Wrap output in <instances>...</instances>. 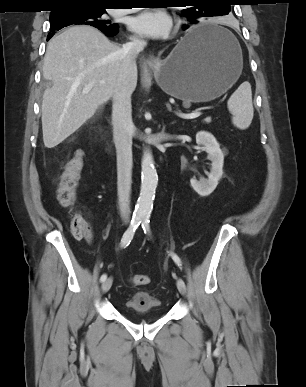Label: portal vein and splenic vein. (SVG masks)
<instances>
[{
    "label": "portal vein and splenic vein",
    "instance_id": "1",
    "mask_svg": "<svg viewBox=\"0 0 306 387\" xmlns=\"http://www.w3.org/2000/svg\"><path fill=\"white\" fill-rule=\"evenodd\" d=\"M94 82H90L88 85L85 86V88L83 89V93H87L91 87L93 86ZM200 112L199 111H195L193 113H189V114H184V113H176V115L180 118H183V119H195L197 117L200 116Z\"/></svg>",
    "mask_w": 306,
    "mask_h": 387
}]
</instances>
